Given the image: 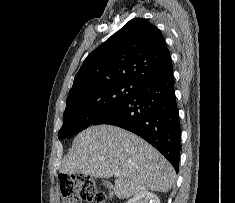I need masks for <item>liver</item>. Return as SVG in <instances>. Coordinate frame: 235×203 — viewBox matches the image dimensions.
<instances>
[{
    "label": "liver",
    "instance_id": "1",
    "mask_svg": "<svg viewBox=\"0 0 235 203\" xmlns=\"http://www.w3.org/2000/svg\"><path fill=\"white\" fill-rule=\"evenodd\" d=\"M119 171L114 193L119 199L143 191L168 192L175 171L168 160L139 136L111 125L79 133L62 165L65 174L110 178Z\"/></svg>",
    "mask_w": 235,
    "mask_h": 203
}]
</instances>
